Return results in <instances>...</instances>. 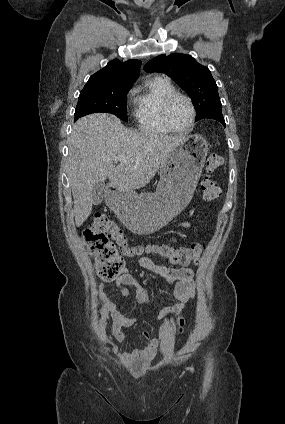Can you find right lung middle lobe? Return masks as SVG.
I'll use <instances>...</instances> for the list:
<instances>
[{
	"instance_id": "right-lung-middle-lobe-1",
	"label": "right lung middle lobe",
	"mask_w": 285,
	"mask_h": 424,
	"mask_svg": "<svg viewBox=\"0 0 285 424\" xmlns=\"http://www.w3.org/2000/svg\"><path fill=\"white\" fill-rule=\"evenodd\" d=\"M132 85L85 88L80 92L75 120L95 113H111L127 121L126 96Z\"/></svg>"
}]
</instances>
